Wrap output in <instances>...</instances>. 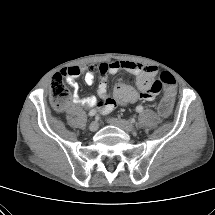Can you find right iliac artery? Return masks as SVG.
Here are the masks:
<instances>
[{
  "label": "right iliac artery",
  "instance_id": "82829eb1",
  "mask_svg": "<svg viewBox=\"0 0 215 215\" xmlns=\"http://www.w3.org/2000/svg\"><path fill=\"white\" fill-rule=\"evenodd\" d=\"M96 115V110H91L90 112H89V116L90 117H93V116H95Z\"/></svg>",
  "mask_w": 215,
  "mask_h": 215
}]
</instances>
